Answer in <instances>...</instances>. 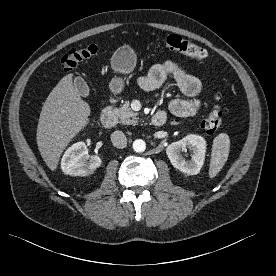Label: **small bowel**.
Here are the masks:
<instances>
[{
    "instance_id": "small-bowel-1",
    "label": "small bowel",
    "mask_w": 276,
    "mask_h": 276,
    "mask_svg": "<svg viewBox=\"0 0 276 276\" xmlns=\"http://www.w3.org/2000/svg\"><path fill=\"white\" fill-rule=\"evenodd\" d=\"M167 78L174 79L180 90L189 97V99H173L169 103V111L178 117L195 115L202 105L200 99L202 84L176 61L166 60L151 67L148 73L139 79V86L146 92H152Z\"/></svg>"
}]
</instances>
